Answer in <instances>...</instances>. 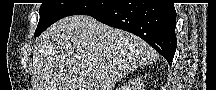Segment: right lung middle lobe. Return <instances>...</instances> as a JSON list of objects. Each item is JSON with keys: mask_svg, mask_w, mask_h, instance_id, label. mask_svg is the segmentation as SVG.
<instances>
[{"mask_svg": "<svg viewBox=\"0 0 216 90\" xmlns=\"http://www.w3.org/2000/svg\"><path fill=\"white\" fill-rule=\"evenodd\" d=\"M109 4H42L40 7V20L35 30L34 37L39 36L44 30L56 21L75 14L91 13L100 10Z\"/></svg>", "mask_w": 216, "mask_h": 90, "instance_id": "right-lung-middle-lobe-1", "label": "right lung middle lobe"}]
</instances>
